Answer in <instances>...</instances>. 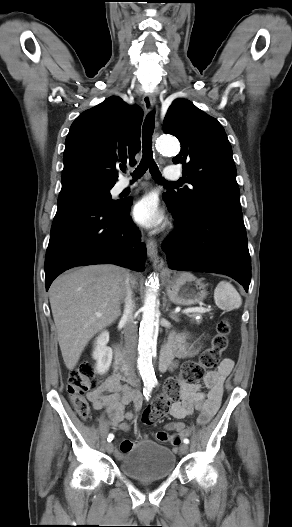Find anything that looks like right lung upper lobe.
<instances>
[{
    "instance_id": "right-lung-upper-lobe-1",
    "label": "right lung upper lobe",
    "mask_w": 292,
    "mask_h": 527,
    "mask_svg": "<svg viewBox=\"0 0 292 527\" xmlns=\"http://www.w3.org/2000/svg\"><path fill=\"white\" fill-rule=\"evenodd\" d=\"M143 111L112 96L72 123L65 141L62 182L90 178L115 184L118 163L135 165Z\"/></svg>"
}]
</instances>
